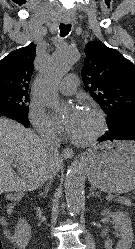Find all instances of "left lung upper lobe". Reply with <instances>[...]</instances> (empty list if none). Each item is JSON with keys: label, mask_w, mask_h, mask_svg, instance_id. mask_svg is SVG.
<instances>
[{"label": "left lung upper lobe", "mask_w": 135, "mask_h": 249, "mask_svg": "<svg viewBox=\"0 0 135 249\" xmlns=\"http://www.w3.org/2000/svg\"><path fill=\"white\" fill-rule=\"evenodd\" d=\"M81 72L84 85L107 114L108 126L135 112V65L120 52L98 41L85 46Z\"/></svg>", "instance_id": "1"}]
</instances>
